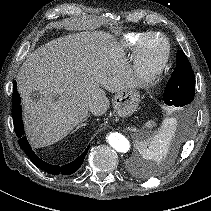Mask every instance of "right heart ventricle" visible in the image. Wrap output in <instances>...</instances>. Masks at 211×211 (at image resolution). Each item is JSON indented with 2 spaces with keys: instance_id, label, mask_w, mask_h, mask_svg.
Here are the masks:
<instances>
[{
  "instance_id": "obj_1",
  "label": "right heart ventricle",
  "mask_w": 211,
  "mask_h": 211,
  "mask_svg": "<svg viewBox=\"0 0 211 211\" xmlns=\"http://www.w3.org/2000/svg\"><path fill=\"white\" fill-rule=\"evenodd\" d=\"M149 32H130L123 36L122 44L126 51L133 53L140 39Z\"/></svg>"
}]
</instances>
